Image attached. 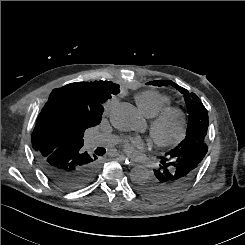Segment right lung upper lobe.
<instances>
[{
  "label": "right lung upper lobe",
  "mask_w": 245,
  "mask_h": 245,
  "mask_svg": "<svg viewBox=\"0 0 245 245\" xmlns=\"http://www.w3.org/2000/svg\"><path fill=\"white\" fill-rule=\"evenodd\" d=\"M118 92L119 85L108 81L71 83L54 89L32 133L36 153L83 145L85 130L101 122L104 104Z\"/></svg>",
  "instance_id": "1"
}]
</instances>
